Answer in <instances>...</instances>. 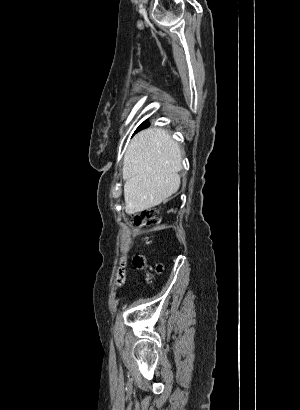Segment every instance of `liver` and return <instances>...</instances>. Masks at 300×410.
I'll return each mask as SVG.
<instances>
[{
	"label": "liver",
	"mask_w": 300,
	"mask_h": 410,
	"mask_svg": "<svg viewBox=\"0 0 300 410\" xmlns=\"http://www.w3.org/2000/svg\"><path fill=\"white\" fill-rule=\"evenodd\" d=\"M182 151L165 129H146L130 142L124 159L125 211L135 214L167 201L180 185Z\"/></svg>",
	"instance_id": "6515ba94"
}]
</instances>
